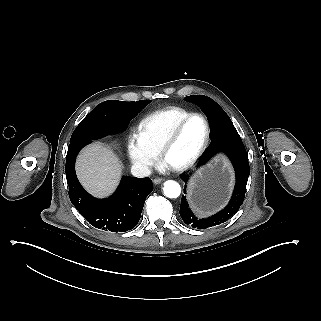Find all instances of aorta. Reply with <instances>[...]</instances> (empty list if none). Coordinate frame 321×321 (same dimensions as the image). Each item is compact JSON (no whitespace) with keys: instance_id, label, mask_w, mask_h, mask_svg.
<instances>
[{"instance_id":"762f6f07","label":"aorta","mask_w":321,"mask_h":321,"mask_svg":"<svg viewBox=\"0 0 321 321\" xmlns=\"http://www.w3.org/2000/svg\"><path fill=\"white\" fill-rule=\"evenodd\" d=\"M164 195L168 198H177L181 193L180 185L173 180H168L164 183Z\"/></svg>"}]
</instances>
